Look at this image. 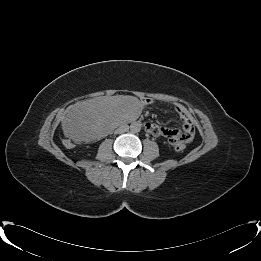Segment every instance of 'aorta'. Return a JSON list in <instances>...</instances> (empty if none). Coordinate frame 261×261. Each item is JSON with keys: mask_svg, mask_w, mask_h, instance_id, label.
Returning a JSON list of instances; mask_svg holds the SVG:
<instances>
[{"mask_svg": "<svg viewBox=\"0 0 261 261\" xmlns=\"http://www.w3.org/2000/svg\"><path fill=\"white\" fill-rule=\"evenodd\" d=\"M130 129L133 133H138L141 130V124L138 122H134L131 124Z\"/></svg>", "mask_w": 261, "mask_h": 261, "instance_id": "aorta-1", "label": "aorta"}]
</instances>
